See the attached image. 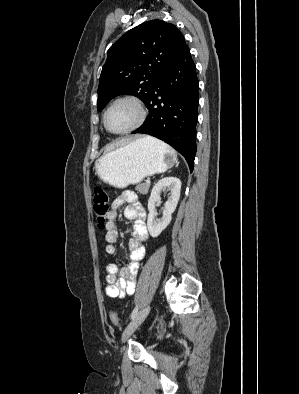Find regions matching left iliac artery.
<instances>
[{
  "mask_svg": "<svg viewBox=\"0 0 299 394\" xmlns=\"http://www.w3.org/2000/svg\"><path fill=\"white\" fill-rule=\"evenodd\" d=\"M137 312H138V307H135L131 314V319H133L137 315Z\"/></svg>",
  "mask_w": 299,
  "mask_h": 394,
  "instance_id": "44dca946",
  "label": "left iliac artery"
}]
</instances>
